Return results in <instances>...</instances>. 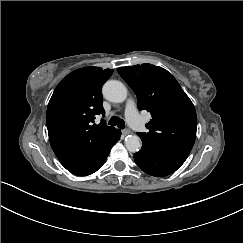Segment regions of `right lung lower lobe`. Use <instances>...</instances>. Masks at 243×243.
<instances>
[{"label": "right lung lower lobe", "mask_w": 243, "mask_h": 243, "mask_svg": "<svg viewBox=\"0 0 243 243\" xmlns=\"http://www.w3.org/2000/svg\"><path fill=\"white\" fill-rule=\"evenodd\" d=\"M120 136L121 132L114 136L110 143L101 152H99L96 157L92 159L89 163L80 168L70 170V172L78 176H87L96 172L104 164L107 156L110 153L111 148L120 139Z\"/></svg>", "instance_id": "1"}]
</instances>
